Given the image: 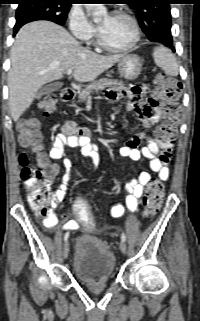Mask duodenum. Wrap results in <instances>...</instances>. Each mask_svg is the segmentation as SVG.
I'll list each match as a JSON object with an SVG mask.
<instances>
[{"label": "duodenum", "instance_id": "duodenum-1", "mask_svg": "<svg viewBox=\"0 0 200 321\" xmlns=\"http://www.w3.org/2000/svg\"><path fill=\"white\" fill-rule=\"evenodd\" d=\"M74 96H75L74 91L69 88H65L61 92V98L65 102H69L73 100Z\"/></svg>", "mask_w": 200, "mask_h": 321}]
</instances>
